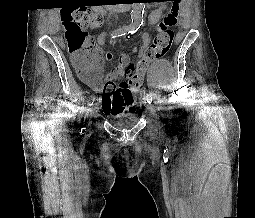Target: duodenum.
<instances>
[{"label":"duodenum","instance_id":"1","mask_svg":"<svg viewBox=\"0 0 255 218\" xmlns=\"http://www.w3.org/2000/svg\"><path fill=\"white\" fill-rule=\"evenodd\" d=\"M99 11H100V12H103V9H102V8H99Z\"/></svg>","mask_w":255,"mask_h":218}]
</instances>
